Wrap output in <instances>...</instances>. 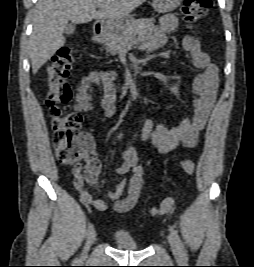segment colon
Listing matches in <instances>:
<instances>
[{
	"instance_id": "colon-1",
	"label": "colon",
	"mask_w": 254,
	"mask_h": 267,
	"mask_svg": "<svg viewBox=\"0 0 254 267\" xmlns=\"http://www.w3.org/2000/svg\"><path fill=\"white\" fill-rule=\"evenodd\" d=\"M212 6V0H184L182 13L186 21L203 19ZM74 63L73 50L69 46L59 48L47 68L48 93L46 103L52 118L53 146L59 162L77 166L81 161L96 159L92 139L81 131L82 116L71 112L68 103L72 97L67 82ZM181 168L188 174L194 170L190 160L180 162ZM174 204L172 197H167L150 210L151 216L169 212Z\"/></svg>"
}]
</instances>
